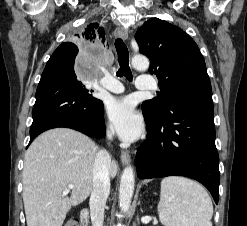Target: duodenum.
Wrapping results in <instances>:
<instances>
[{
    "label": "duodenum",
    "instance_id": "410a0bca",
    "mask_svg": "<svg viewBox=\"0 0 247 226\" xmlns=\"http://www.w3.org/2000/svg\"><path fill=\"white\" fill-rule=\"evenodd\" d=\"M80 221L82 226H88L89 224V210L84 208L80 212Z\"/></svg>",
    "mask_w": 247,
    "mask_h": 226
}]
</instances>
